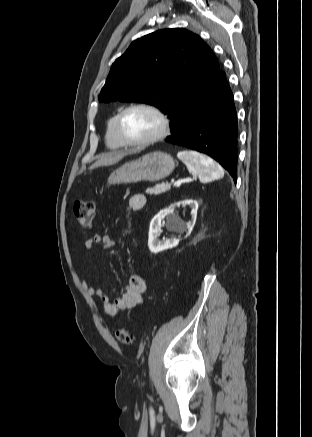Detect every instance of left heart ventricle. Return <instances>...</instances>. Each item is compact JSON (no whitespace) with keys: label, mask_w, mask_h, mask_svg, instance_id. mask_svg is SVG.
I'll list each match as a JSON object with an SVG mask.
<instances>
[{"label":"left heart ventricle","mask_w":312,"mask_h":437,"mask_svg":"<svg viewBox=\"0 0 312 437\" xmlns=\"http://www.w3.org/2000/svg\"><path fill=\"white\" fill-rule=\"evenodd\" d=\"M122 128L126 136L133 140H142L156 134L160 121L155 114L143 108L129 111L123 118Z\"/></svg>","instance_id":"obj_1"}]
</instances>
